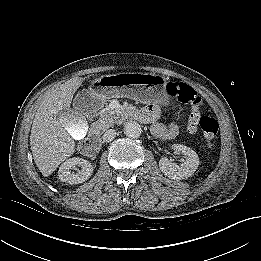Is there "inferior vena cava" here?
Instances as JSON below:
<instances>
[{
    "label": "inferior vena cava",
    "mask_w": 261,
    "mask_h": 261,
    "mask_svg": "<svg viewBox=\"0 0 261 261\" xmlns=\"http://www.w3.org/2000/svg\"><path fill=\"white\" fill-rule=\"evenodd\" d=\"M116 137V131L114 129L107 130L103 135L104 142H111Z\"/></svg>",
    "instance_id": "obj_1"
}]
</instances>
